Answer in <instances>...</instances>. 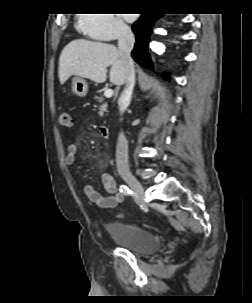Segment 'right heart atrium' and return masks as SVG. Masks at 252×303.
I'll use <instances>...</instances> for the list:
<instances>
[{
  "label": "right heart atrium",
  "instance_id": "d8ad5b80",
  "mask_svg": "<svg viewBox=\"0 0 252 303\" xmlns=\"http://www.w3.org/2000/svg\"><path fill=\"white\" fill-rule=\"evenodd\" d=\"M79 28L100 41H113L129 33L128 25L118 14H79Z\"/></svg>",
  "mask_w": 252,
  "mask_h": 303
}]
</instances>
